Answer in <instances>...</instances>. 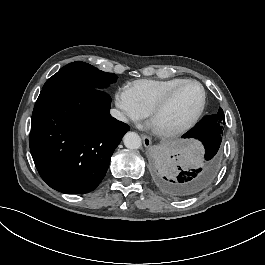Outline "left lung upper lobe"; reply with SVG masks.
I'll return each mask as SVG.
<instances>
[{
	"mask_svg": "<svg viewBox=\"0 0 265 265\" xmlns=\"http://www.w3.org/2000/svg\"><path fill=\"white\" fill-rule=\"evenodd\" d=\"M215 116V118L217 119V120H219V121H223V120H225L224 119V117H223V111H222V109L221 108H219V111H218V113L216 114V115H214Z\"/></svg>",
	"mask_w": 265,
	"mask_h": 265,
	"instance_id": "obj_1",
	"label": "left lung upper lobe"
}]
</instances>
